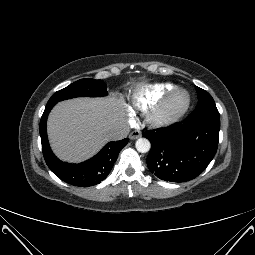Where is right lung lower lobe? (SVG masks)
I'll list each match as a JSON object with an SVG mask.
<instances>
[{"mask_svg": "<svg viewBox=\"0 0 255 255\" xmlns=\"http://www.w3.org/2000/svg\"><path fill=\"white\" fill-rule=\"evenodd\" d=\"M55 104H47L40 121L42 151L50 170L61 180L74 186L88 187L103 181L110 173L119 152L128 143V138L109 142L96 156L80 164L60 161L49 146L46 121Z\"/></svg>", "mask_w": 255, "mask_h": 255, "instance_id": "1", "label": "right lung lower lobe"}]
</instances>
